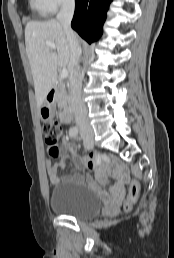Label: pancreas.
<instances>
[{
  "mask_svg": "<svg viewBox=\"0 0 174 258\" xmlns=\"http://www.w3.org/2000/svg\"><path fill=\"white\" fill-rule=\"evenodd\" d=\"M56 103L61 109H67L69 105L68 92L62 81H60L57 86Z\"/></svg>",
  "mask_w": 174,
  "mask_h": 258,
  "instance_id": "pancreas-1",
  "label": "pancreas"
}]
</instances>
